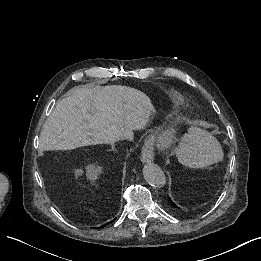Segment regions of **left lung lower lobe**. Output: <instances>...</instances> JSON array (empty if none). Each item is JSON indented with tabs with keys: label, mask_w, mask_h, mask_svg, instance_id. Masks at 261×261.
Instances as JSON below:
<instances>
[{
	"label": "left lung lower lobe",
	"mask_w": 261,
	"mask_h": 261,
	"mask_svg": "<svg viewBox=\"0 0 261 261\" xmlns=\"http://www.w3.org/2000/svg\"><path fill=\"white\" fill-rule=\"evenodd\" d=\"M170 202H171V206L173 207V208H175V209H177V206L170 200Z\"/></svg>",
	"instance_id": "obj_1"
}]
</instances>
